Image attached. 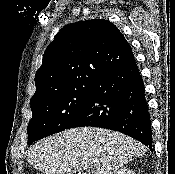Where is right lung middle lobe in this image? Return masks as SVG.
Segmentation results:
<instances>
[{
    "label": "right lung middle lobe",
    "instance_id": "dd1d6c3e",
    "mask_svg": "<svg viewBox=\"0 0 175 174\" xmlns=\"http://www.w3.org/2000/svg\"><path fill=\"white\" fill-rule=\"evenodd\" d=\"M94 85L62 92L31 104L28 144L67 129L83 110Z\"/></svg>",
    "mask_w": 175,
    "mask_h": 174
}]
</instances>
